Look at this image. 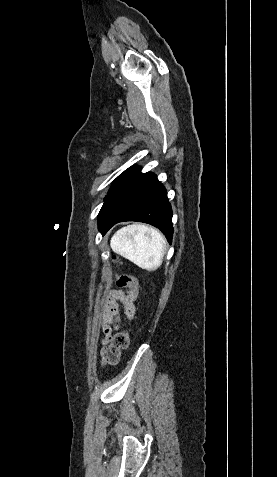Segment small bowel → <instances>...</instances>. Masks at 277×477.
I'll return each mask as SVG.
<instances>
[{
    "label": "small bowel",
    "mask_w": 277,
    "mask_h": 477,
    "mask_svg": "<svg viewBox=\"0 0 277 477\" xmlns=\"http://www.w3.org/2000/svg\"><path fill=\"white\" fill-rule=\"evenodd\" d=\"M135 296H131L130 292L128 290L123 291V290H113L110 292L108 295L104 307H103V315H102V330L104 332L105 337L101 340V343L103 345H106L112 336L113 330L114 329H119L121 328V325H116L113 323V315L115 311L117 310V305L119 302H122L124 300L128 301V304L126 305V310L125 313L128 317H132L135 311V306L132 301V298ZM119 312V311H118ZM120 314V312H119Z\"/></svg>",
    "instance_id": "c3829d8e"
}]
</instances>
